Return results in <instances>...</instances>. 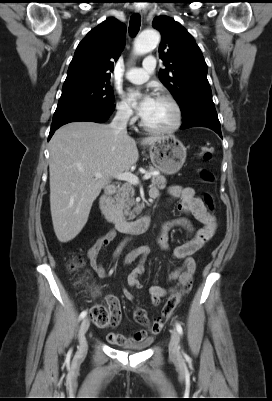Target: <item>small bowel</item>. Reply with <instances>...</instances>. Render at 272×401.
I'll use <instances>...</instances> for the list:
<instances>
[{"label": "small bowel", "mask_w": 272, "mask_h": 401, "mask_svg": "<svg viewBox=\"0 0 272 401\" xmlns=\"http://www.w3.org/2000/svg\"><path fill=\"white\" fill-rule=\"evenodd\" d=\"M169 195L173 200H178V208L183 212L184 216L172 221L165 223L161 229L158 237V243L164 250H169L168 244V233L174 227H181L190 233V238L183 244L177 246L173 251V258L183 260V264L178 269L172 271L169 274V279L172 281H178L180 284H185L191 280V277L195 271V261L193 255L200 250L206 242L214 235L216 231V220L208 212L204 202L196 196L195 191L191 187L173 186L168 190ZM151 196L156 198L159 196V190L157 188L151 189ZM187 216H192L198 220L202 227L195 230L190 223ZM116 235L115 230H111L101 235L93 243L87 252V257L91 267L97 273L98 276L104 278L107 273L100 262V256L104 250L109 246ZM149 248L147 246H139L131 253H129L124 260L125 264H130L134 260L139 259L138 265L131 270L127 276V285L133 289H140L142 287L139 276L145 270L146 258L149 254ZM171 289L165 288L161 285L154 284L149 288V295L151 304L156 306L160 303L161 299ZM123 295L128 301L134 299V295L131 291L124 289ZM105 301L107 307L110 309L112 314V325L117 326L121 320V306L119 300L113 295H106ZM139 310V309H137ZM135 311V320L136 312ZM137 323H139L136 320ZM141 324V323H139ZM146 328L132 332L128 336L120 335L117 333H109L107 335L108 341L113 345H125L127 343H140L149 341V334H158L162 329L163 323L144 325Z\"/></svg>", "instance_id": "small-bowel-1"}]
</instances>
